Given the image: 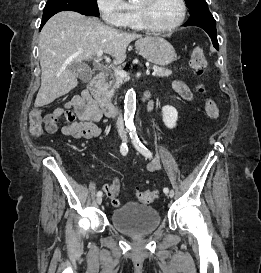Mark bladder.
I'll use <instances>...</instances> for the list:
<instances>
[{"label": "bladder", "instance_id": "bladder-1", "mask_svg": "<svg viewBox=\"0 0 261 273\" xmlns=\"http://www.w3.org/2000/svg\"><path fill=\"white\" fill-rule=\"evenodd\" d=\"M110 222L121 232L138 235L155 231L161 218L152 206L127 202L111 213Z\"/></svg>", "mask_w": 261, "mask_h": 273}]
</instances>
